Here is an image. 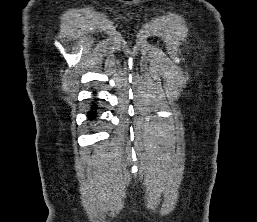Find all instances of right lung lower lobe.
I'll list each match as a JSON object with an SVG mask.
<instances>
[{
    "label": "right lung lower lobe",
    "instance_id": "right-lung-lower-lobe-1",
    "mask_svg": "<svg viewBox=\"0 0 257 222\" xmlns=\"http://www.w3.org/2000/svg\"><path fill=\"white\" fill-rule=\"evenodd\" d=\"M96 110H97V106H93L91 108V111L87 113V116L89 119H93L96 117V115H97Z\"/></svg>",
    "mask_w": 257,
    "mask_h": 222
}]
</instances>
